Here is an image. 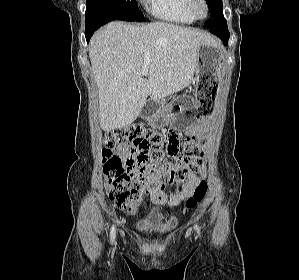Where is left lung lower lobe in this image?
Instances as JSON below:
<instances>
[{
  "label": "left lung lower lobe",
  "mask_w": 299,
  "mask_h": 280,
  "mask_svg": "<svg viewBox=\"0 0 299 280\" xmlns=\"http://www.w3.org/2000/svg\"><path fill=\"white\" fill-rule=\"evenodd\" d=\"M210 32L215 34L219 38H221L223 40V43L225 45H227L230 34H229V31H228V28H227L226 20L220 26H217L216 28L211 29Z\"/></svg>",
  "instance_id": "1"
}]
</instances>
